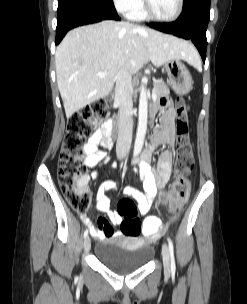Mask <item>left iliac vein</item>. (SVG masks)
Masks as SVG:
<instances>
[{
    "mask_svg": "<svg viewBox=\"0 0 247 304\" xmlns=\"http://www.w3.org/2000/svg\"><path fill=\"white\" fill-rule=\"evenodd\" d=\"M162 257H163V264H164V272L166 274H170L171 266H170V255L169 249L166 244L162 246Z\"/></svg>",
    "mask_w": 247,
    "mask_h": 304,
    "instance_id": "left-iliac-vein-1",
    "label": "left iliac vein"
}]
</instances>
